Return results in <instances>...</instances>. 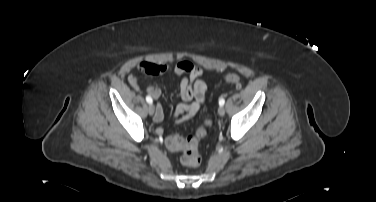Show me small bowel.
Listing matches in <instances>:
<instances>
[{
    "mask_svg": "<svg viewBox=\"0 0 376 202\" xmlns=\"http://www.w3.org/2000/svg\"><path fill=\"white\" fill-rule=\"evenodd\" d=\"M137 70L147 75H160L171 72L175 77L181 78L179 92L184 102L176 106L173 115V121L175 123H181L194 117L205 101L208 86L203 78V71L190 62L181 61L174 65H166L150 61H140L137 65ZM128 81L135 90H140L137 74L130 73ZM146 92L148 96L157 101L153 119L155 122L160 123L164 119L163 107L158 102L161 96V90L158 87L149 86L146 88Z\"/></svg>",
    "mask_w": 376,
    "mask_h": 202,
    "instance_id": "1",
    "label": "small bowel"
}]
</instances>
